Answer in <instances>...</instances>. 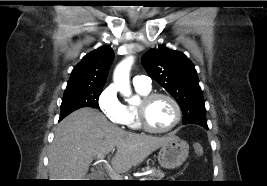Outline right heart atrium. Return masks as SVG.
I'll return each mask as SVG.
<instances>
[{
	"instance_id": "1",
	"label": "right heart atrium",
	"mask_w": 267,
	"mask_h": 186,
	"mask_svg": "<svg viewBox=\"0 0 267 186\" xmlns=\"http://www.w3.org/2000/svg\"><path fill=\"white\" fill-rule=\"evenodd\" d=\"M98 106L104 116L114 123H121L123 105L112 86L104 88L98 96Z\"/></svg>"
}]
</instances>
